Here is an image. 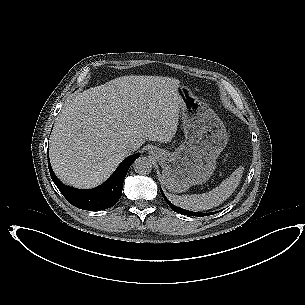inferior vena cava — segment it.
I'll return each mask as SVG.
<instances>
[{"mask_svg": "<svg viewBox=\"0 0 305 305\" xmlns=\"http://www.w3.org/2000/svg\"><path fill=\"white\" fill-rule=\"evenodd\" d=\"M124 148L126 151H128L130 153V152L136 151L139 148V145L129 142L124 145Z\"/></svg>", "mask_w": 305, "mask_h": 305, "instance_id": "602c4592", "label": "inferior vena cava"}]
</instances>
